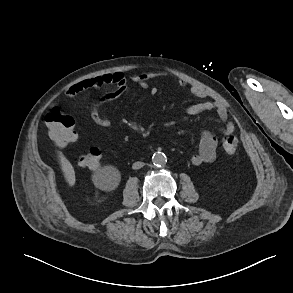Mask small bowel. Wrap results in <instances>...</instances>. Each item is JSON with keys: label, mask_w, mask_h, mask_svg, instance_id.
<instances>
[{"label": "small bowel", "mask_w": 293, "mask_h": 293, "mask_svg": "<svg viewBox=\"0 0 293 293\" xmlns=\"http://www.w3.org/2000/svg\"><path fill=\"white\" fill-rule=\"evenodd\" d=\"M167 76L168 75L165 72H150L136 75L132 78V81L140 88L147 89L149 87L148 81L150 79ZM177 83L182 88H186L188 86V83L183 79H178ZM127 86L128 81L123 74L112 72L84 79L79 83L69 87L66 91V94L68 96H73L83 91L90 92L91 90H104L103 94L92 106L90 116L91 120L96 125L100 127H109L111 125V120L102 114V108L104 105L117 100L125 92ZM189 89L190 92L196 97H208V93L198 85H191ZM150 92L152 95H156L157 89L152 88ZM208 111H216L219 119L222 121H226L227 119V109L222 104L216 102L203 101L192 104L186 109V113L189 116H196ZM234 130V124L232 122H227L222 129V133L231 134L234 132ZM217 145V138L211 131H202L200 136L199 150L191 157L192 165L199 166L213 162L216 158Z\"/></svg>", "instance_id": "1"}]
</instances>
